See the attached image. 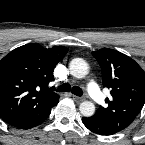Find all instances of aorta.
<instances>
[{"label":"aorta","instance_id":"aorta-1","mask_svg":"<svg viewBox=\"0 0 145 145\" xmlns=\"http://www.w3.org/2000/svg\"><path fill=\"white\" fill-rule=\"evenodd\" d=\"M70 74L75 78H84L88 74V64L81 58H75L69 65ZM79 110L85 117H90L95 112V105L90 101H84L80 104Z\"/></svg>","mask_w":145,"mask_h":145}]
</instances>
